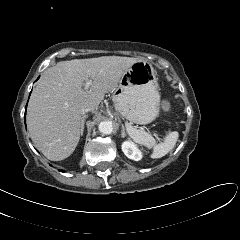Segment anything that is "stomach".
<instances>
[{
	"label": "stomach",
	"mask_w": 240,
	"mask_h": 240,
	"mask_svg": "<svg viewBox=\"0 0 240 240\" xmlns=\"http://www.w3.org/2000/svg\"><path fill=\"white\" fill-rule=\"evenodd\" d=\"M157 74L143 60L132 64L114 89L112 99L116 111L130 122L148 124L155 120L160 109Z\"/></svg>",
	"instance_id": "0dacf381"
}]
</instances>
